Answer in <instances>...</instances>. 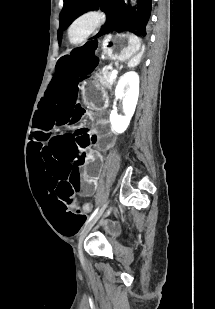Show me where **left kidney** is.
Returning a JSON list of instances; mask_svg holds the SVG:
<instances>
[{
	"label": "left kidney",
	"instance_id": "left-kidney-1",
	"mask_svg": "<svg viewBox=\"0 0 215 309\" xmlns=\"http://www.w3.org/2000/svg\"><path fill=\"white\" fill-rule=\"evenodd\" d=\"M132 86H136L135 94H133ZM115 96L122 98L125 116L118 114L117 110H111L110 122L114 132H124L128 128L135 112L139 96V76L137 72L130 70V72H125L123 76H120V80L115 88Z\"/></svg>",
	"mask_w": 215,
	"mask_h": 309
}]
</instances>
